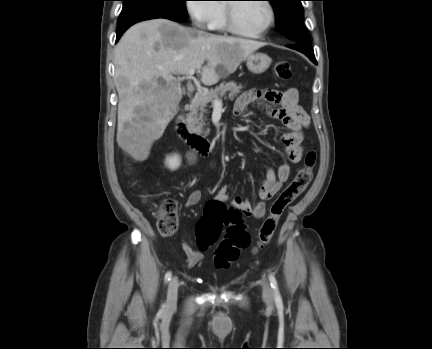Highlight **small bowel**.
I'll return each mask as SVG.
<instances>
[{"label": "small bowel", "mask_w": 432, "mask_h": 349, "mask_svg": "<svg viewBox=\"0 0 432 349\" xmlns=\"http://www.w3.org/2000/svg\"><path fill=\"white\" fill-rule=\"evenodd\" d=\"M298 91L289 88L285 91L274 89H250L242 93L236 100L234 111L237 115L254 102L266 115L279 119L286 127L288 132L281 136V144L287 160L296 164L303 156V129L310 125L309 114L298 103ZM192 161V159H191ZM291 168L288 163L280 164L277 169L269 168L265 178L258 190L259 201L252 204L241 197H235L232 201L243 216L262 218L266 212V202L273 198L281 189L283 184L289 179ZM202 198L200 190H193L187 197L185 206L191 208L197 205ZM229 198L227 186H222L214 197V201L224 203ZM183 252L187 257L189 267H194L203 259L201 252L193 249L188 244H183Z\"/></svg>", "instance_id": "small-bowel-1"}]
</instances>
